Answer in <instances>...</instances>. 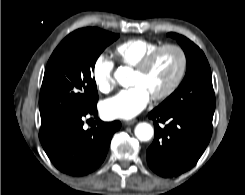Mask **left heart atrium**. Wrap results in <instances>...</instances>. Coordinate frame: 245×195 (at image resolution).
<instances>
[{
	"instance_id": "1",
	"label": "left heart atrium",
	"mask_w": 245,
	"mask_h": 195,
	"mask_svg": "<svg viewBox=\"0 0 245 195\" xmlns=\"http://www.w3.org/2000/svg\"><path fill=\"white\" fill-rule=\"evenodd\" d=\"M151 95L141 85L120 91L101 103L102 114L109 119H132L145 109Z\"/></svg>"
}]
</instances>
